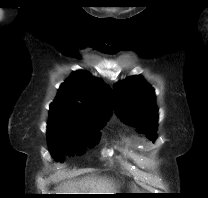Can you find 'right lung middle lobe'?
Returning <instances> with one entry per match:
<instances>
[{
	"mask_svg": "<svg viewBox=\"0 0 208 198\" xmlns=\"http://www.w3.org/2000/svg\"><path fill=\"white\" fill-rule=\"evenodd\" d=\"M107 119L91 120L70 115H50L47 125L49 150L55 159L65 153L82 154L100 138L99 129Z\"/></svg>",
	"mask_w": 208,
	"mask_h": 198,
	"instance_id": "1",
	"label": "right lung middle lobe"
}]
</instances>
